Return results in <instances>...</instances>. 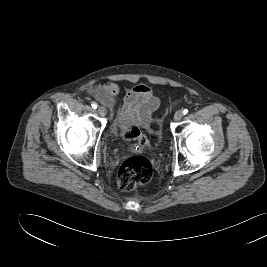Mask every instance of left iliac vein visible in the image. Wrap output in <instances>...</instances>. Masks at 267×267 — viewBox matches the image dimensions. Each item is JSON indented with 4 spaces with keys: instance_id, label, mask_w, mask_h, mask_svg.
Returning <instances> with one entry per match:
<instances>
[{
    "instance_id": "obj_1",
    "label": "left iliac vein",
    "mask_w": 267,
    "mask_h": 267,
    "mask_svg": "<svg viewBox=\"0 0 267 267\" xmlns=\"http://www.w3.org/2000/svg\"><path fill=\"white\" fill-rule=\"evenodd\" d=\"M183 111L179 110L175 113L174 119L175 121H180L183 118Z\"/></svg>"
}]
</instances>
